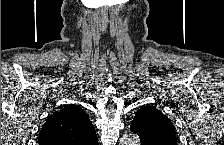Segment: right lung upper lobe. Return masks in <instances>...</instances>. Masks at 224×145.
<instances>
[{
	"mask_svg": "<svg viewBox=\"0 0 224 145\" xmlns=\"http://www.w3.org/2000/svg\"><path fill=\"white\" fill-rule=\"evenodd\" d=\"M97 135L86 112L65 105L54 112L41 128L39 145H97Z\"/></svg>",
	"mask_w": 224,
	"mask_h": 145,
	"instance_id": "right-lung-upper-lobe-1",
	"label": "right lung upper lobe"
}]
</instances>
